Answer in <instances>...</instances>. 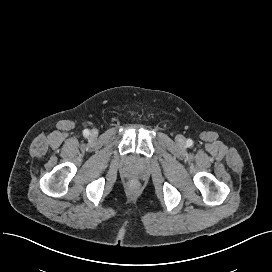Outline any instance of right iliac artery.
Listing matches in <instances>:
<instances>
[{"label":"right iliac artery","mask_w":272,"mask_h":272,"mask_svg":"<svg viewBox=\"0 0 272 272\" xmlns=\"http://www.w3.org/2000/svg\"><path fill=\"white\" fill-rule=\"evenodd\" d=\"M89 130L88 129H85L84 131H83V135L85 136V137H87L88 135H89Z\"/></svg>","instance_id":"82829eb1"}]
</instances>
